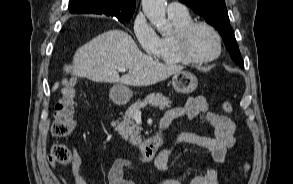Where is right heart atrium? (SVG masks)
Segmentation results:
<instances>
[{"label":"right heart atrium","mask_w":293,"mask_h":184,"mask_svg":"<svg viewBox=\"0 0 293 184\" xmlns=\"http://www.w3.org/2000/svg\"><path fill=\"white\" fill-rule=\"evenodd\" d=\"M132 32L141 49L146 54L154 56L159 46L160 37L143 14L139 13L134 18Z\"/></svg>","instance_id":"obj_1"}]
</instances>
